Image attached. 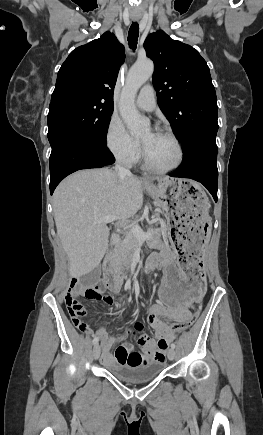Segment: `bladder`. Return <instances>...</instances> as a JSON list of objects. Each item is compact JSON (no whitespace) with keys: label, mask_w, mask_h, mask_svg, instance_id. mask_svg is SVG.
Segmentation results:
<instances>
[{"label":"bladder","mask_w":263,"mask_h":435,"mask_svg":"<svg viewBox=\"0 0 263 435\" xmlns=\"http://www.w3.org/2000/svg\"><path fill=\"white\" fill-rule=\"evenodd\" d=\"M162 360L149 361L141 365L113 364L108 371L117 378L128 382H145L157 377L164 369Z\"/></svg>","instance_id":"obj_1"}]
</instances>
